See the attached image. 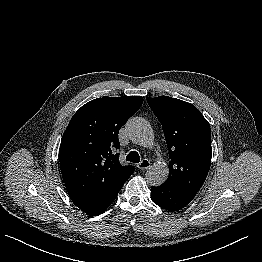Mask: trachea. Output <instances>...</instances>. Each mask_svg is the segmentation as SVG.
I'll list each match as a JSON object with an SVG mask.
<instances>
[{"mask_svg": "<svg viewBox=\"0 0 262 262\" xmlns=\"http://www.w3.org/2000/svg\"><path fill=\"white\" fill-rule=\"evenodd\" d=\"M126 160L133 162V163H139L140 162V156L138 154V152L136 151H131L127 156H126Z\"/></svg>", "mask_w": 262, "mask_h": 262, "instance_id": "1", "label": "trachea"}]
</instances>
